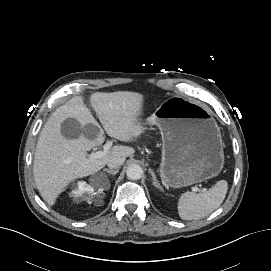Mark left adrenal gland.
<instances>
[{
  "instance_id": "obj_1",
  "label": "left adrenal gland",
  "mask_w": 271,
  "mask_h": 271,
  "mask_svg": "<svg viewBox=\"0 0 271 271\" xmlns=\"http://www.w3.org/2000/svg\"><path fill=\"white\" fill-rule=\"evenodd\" d=\"M149 172L151 173V176H152L153 185H154L155 187H157V188H161L160 183L157 181L156 175H155V173L153 172V170H149Z\"/></svg>"
}]
</instances>
